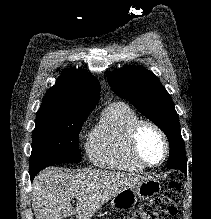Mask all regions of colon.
<instances>
[{
  "mask_svg": "<svg viewBox=\"0 0 211 219\" xmlns=\"http://www.w3.org/2000/svg\"><path fill=\"white\" fill-rule=\"evenodd\" d=\"M180 196L181 185L174 181L162 195L142 204L139 209L121 219H166L173 217L178 212Z\"/></svg>",
  "mask_w": 211,
  "mask_h": 219,
  "instance_id": "5ec220e1",
  "label": "colon"
}]
</instances>
